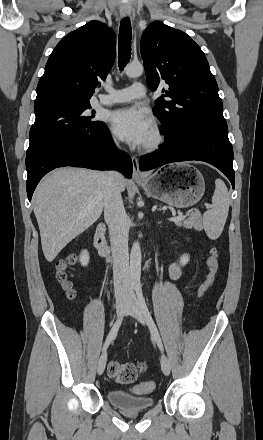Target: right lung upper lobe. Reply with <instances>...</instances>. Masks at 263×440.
I'll return each instance as SVG.
<instances>
[{
	"label": "right lung upper lobe",
	"mask_w": 263,
	"mask_h": 440,
	"mask_svg": "<svg viewBox=\"0 0 263 440\" xmlns=\"http://www.w3.org/2000/svg\"><path fill=\"white\" fill-rule=\"evenodd\" d=\"M116 36L102 22L70 32L52 51L37 85L34 108L57 103H89L115 60Z\"/></svg>",
	"instance_id": "1"
}]
</instances>
